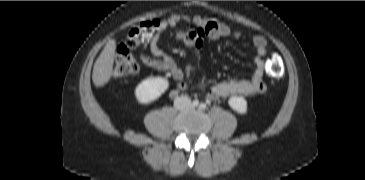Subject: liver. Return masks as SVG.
I'll use <instances>...</instances> for the list:
<instances>
[{"label":"liver","instance_id":"liver-1","mask_svg":"<svg viewBox=\"0 0 365 180\" xmlns=\"http://www.w3.org/2000/svg\"><path fill=\"white\" fill-rule=\"evenodd\" d=\"M116 41L109 40L95 61L92 81L96 87H102L109 82L113 75Z\"/></svg>","mask_w":365,"mask_h":180}]
</instances>
